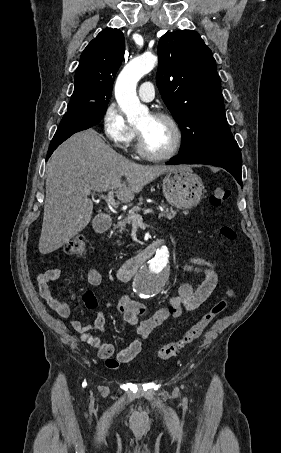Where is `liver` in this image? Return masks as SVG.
I'll return each instance as SVG.
<instances>
[{
    "instance_id": "1",
    "label": "liver",
    "mask_w": 281,
    "mask_h": 453,
    "mask_svg": "<svg viewBox=\"0 0 281 453\" xmlns=\"http://www.w3.org/2000/svg\"><path fill=\"white\" fill-rule=\"evenodd\" d=\"M187 164L145 166L131 162L106 144L94 128L70 136L54 150L46 164V198L39 251L53 253L83 231L91 220L93 202L84 190H115L121 202L154 178ZM125 176V180H122Z\"/></svg>"
}]
</instances>
